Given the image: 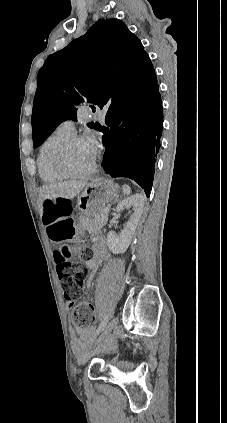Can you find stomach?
I'll return each mask as SVG.
<instances>
[{"label": "stomach", "instance_id": "obj_1", "mask_svg": "<svg viewBox=\"0 0 227 423\" xmlns=\"http://www.w3.org/2000/svg\"><path fill=\"white\" fill-rule=\"evenodd\" d=\"M118 194V186H115L112 180H104V178L91 180L90 184H87L83 192L79 194L77 208L90 217V215H94L99 206L113 202Z\"/></svg>", "mask_w": 227, "mask_h": 423}]
</instances>
